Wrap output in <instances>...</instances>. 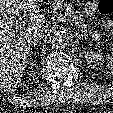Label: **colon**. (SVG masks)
Listing matches in <instances>:
<instances>
[{
  "instance_id": "1",
  "label": "colon",
  "mask_w": 113,
  "mask_h": 113,
  "mask_svg": "<svg viewBox=\"0 0 113 113\" xmlns=\"http://www.w3.org/2000/svg\"><path fill=\"white\" fill-rule=\"evenodd\" d=\"M97 10L102 18L113 23V0H99Z\"/></svg>"
}]
</instances>
